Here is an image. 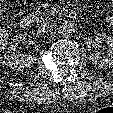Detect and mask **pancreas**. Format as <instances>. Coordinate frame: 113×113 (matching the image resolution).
<instances>
[{"label": "pancreas", "mask_w": 113, "mask_h": 113, "mask_svg": "<svg viewBox=\"0 0 113 113\" xmlns=\"http://www.w3.org/2000/svg\"><path fill=\"white\" fill-rule=\"evenodd\" d=\"M49 15H51V13L49 11H47V13H42L40 8H37L36 11L31 14L33 20L37 23L48 19Z\"/></svg>", "instance_id": "obj_1"}]
</instances>
